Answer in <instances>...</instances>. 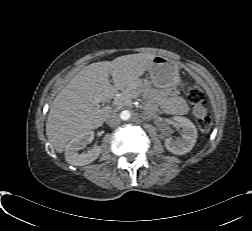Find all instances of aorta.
Listing matches in <instances>:
<instances>
[{
  "instance_id": "762f6f07",
  "label": "aorta",
  "mask_w": 252,
  "mask_h": 231,
  "mask_svg": "<svg viewBox=\"0 0 252 231\" xmlns=\"http://www.w3.org/2000/svg\"><path fill=\"white\" fill-rule=\"evenodd\" d=\"M120 118L124 121L129 120L131 118V112L129 110H123L120 113Z\"/></svg>"
}]
</instances>
